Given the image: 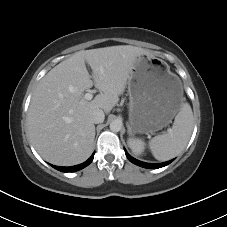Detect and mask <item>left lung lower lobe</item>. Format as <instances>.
<instances>
[{
    "label": "left lung lower lobe",
    "mask_w": 227,
    "mask_h": 227,
    "mask_svg": "<svg viewBox=\"0 0 227 227\" xmlns=\"http://www.w3.org/2000/svg\"><path fill=\"white\" fill-rule=\"evenodd\" d=\"M125 154L127 156V158L129 159V161H131L132 163L140 166V167H144V168H149V169H157V168H161L164 167L168 164H170L173 160L164 162V163H159V164H150V163H145V162H141L139 160H136L135 158L131 157L127 151L125 150Z\"/></svg>",
    "instance_id": "1"
}]
</instances>
